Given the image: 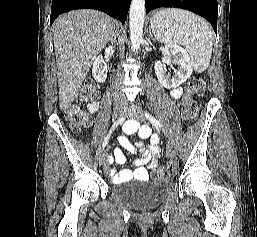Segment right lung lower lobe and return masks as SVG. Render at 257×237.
<instances>
[{
	"mask_svg": "<svg viewBox=\"0 0 257 237\" xmlns=\"http://www.w3.org/2000/svg\"><path fill=\"white\" fill-rule=\"evenodd\" d=\"M131 0H52L50 24L62 13L74 9H96L125 23Z\"/></svg>",
	"mask_w": 257,
	"mask_h": 237,
	"instance_id": "98d812e1",
	"label": "right lung lower lobe"
}]
</instances>
